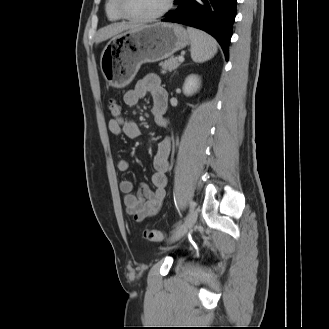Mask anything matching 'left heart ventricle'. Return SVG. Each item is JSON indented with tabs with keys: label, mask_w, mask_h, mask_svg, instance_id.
<instances>
[{
	"label": "left heart ventricle",
	"mask_w": 329,
	"mask_h": 329,
	"mask_svg": "<svg viewBox=\"0 0 329 329\" xmlns=\"http://www.w3.org/2000/svg\"><path fill=\"white\" fill-rule=\"evenodd\" d=\"M167 0H124L128 13L140 16H149L159 12Z\"/></svg>",
	"instance_id": "b2bd125f"
}]
</instances>
